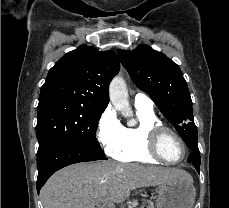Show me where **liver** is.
Here are the masks:
<instances>
[{
  "instance_id": "1",
  "label": "liver",
  "mask_w": 229,
  "mask_h": 208,
  "mask_svg": "<svg viewBox=\"0 0 229 208\" xmlns=\"http://www.w3.org/2000/svg\"><path fill=\"white\" fill-rule=\"evenodd\" d=\"M167 180H192L178 168L121 164L112 160L81 162L53 174L40 192L44 208H109L124 202L135 188Z\"/></svg>"
}]
</instances>
